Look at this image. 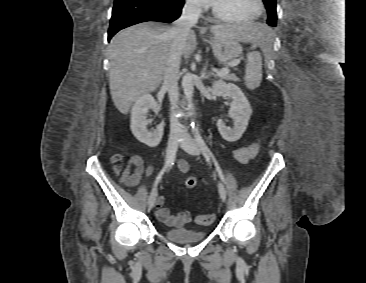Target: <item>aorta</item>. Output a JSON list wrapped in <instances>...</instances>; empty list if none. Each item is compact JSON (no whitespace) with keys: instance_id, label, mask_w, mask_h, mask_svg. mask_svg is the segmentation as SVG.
<instances>
[{"instance_id":"1","label":"aorta","mask_w":366,"mask_h":283,"mask_svg":"<svg viewBox=\"0 0 366 283\" xmlns=\"http://www.w3.org/2000/svg\"><path fill=\"white\" fill-rule=\"evenodd\" d=\"M182 87L184 90L185 97L188 101V107L190 109H193L192 98L194 92V79L191 73H187L184 75L182 79ZM192 124H194V122H192Z\"/></svg>"}]
</instances>
